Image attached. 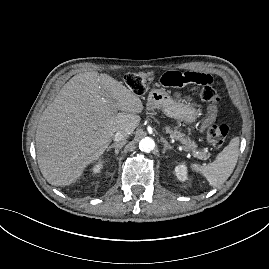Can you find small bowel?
I'll use <instances>...</instances> for the list:
<instances>
[{"label": "small bowel", "instance_id": "small-bowel-1", "mask_svg": "<svg viewBox=\"0 0 269 269\" xmlns=\"http://www.w3.org/2000/svg\"><path fill=\"white\" fill-rule=\"evenodd\" d=\"M180 73V72H177ZM175 71H168L166 74L161 75L158 78V83L167 88L172 87H185L188 83H193L194 85H200L201 87L206 88L207 86H212L216 90L215 83L213 78L209 74H202L198 72H186L177 74ZM202 74V75H200ZM192 94V93H191ZM197 100H200L203 103L213 104L209 101H202L198 94H192ZM217 109L214 106H211L207 110V115L203 127L213 122L216 118Z\"/></svg>", "mask_w": 269, "mask_h": 269}]
</instances>
